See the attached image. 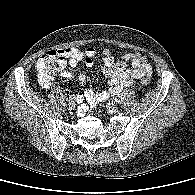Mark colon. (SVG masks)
Wrapping results in <instances>:
<instances>
[{
  "label": "colon",
  "instance_id": "1",
  "mask_svg": "<svg viewBox=\"0 0 195 195\" xmlns=\"http://www.w3.org/2000/svg\"><path fill=\"white\" fill-rule=\"evenodd\" d=\"M66 66L65 57L56 51H50L43 54L37 61V71L39 74L40 83L43 86H49L54 79L61 74ZM142 85H148L149 79L142 77L140 79Z\"/></svg>",
  "mask_w": 195,
  "mask_h": 195
}]
</instances>
